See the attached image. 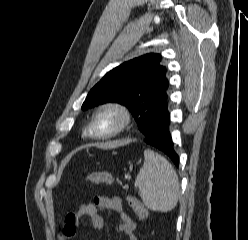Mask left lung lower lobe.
Returning a JSON list of instances; mask_svg holds the SVG:
<instances>
[{"mask_svg":"<svg viewBox=\"0 0 248 240\" xmlns=\"http://www.w3.org/2000/svg\"><path fill=\"white\" fill-rule=\"evenodd\" d=\"M169 125L170 114L165 106L152 118L147 130L143 133L144 142L165 153L178 166L179 156L173 148Z\"/></svg>","mask_w":248,"mask_h":240,"instance_id":"obj_1","label":"left lung lower lobe"}]
</instances>
